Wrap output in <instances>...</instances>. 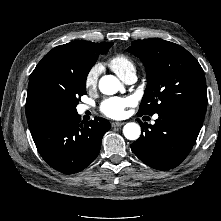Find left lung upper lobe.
<instances>
[{
  "mask_svg": "<svg viewBox=\"0 0 221 221\" xmlns=\"http://www.w3.org/2000/svg\"><path fill=\"white\" fill-rule=\"evenodd\" d=\"M127 50L141 59L147 75L139 115H159L175 108L206 112L204 72L186 49L169 41L151 38L136 40Z\"/></svg>",
  "mask_w": 221,
  "mask_h": 221,
  "instance_id": "1",
  "label": "left lung upper lobe"
}]
</instances>
